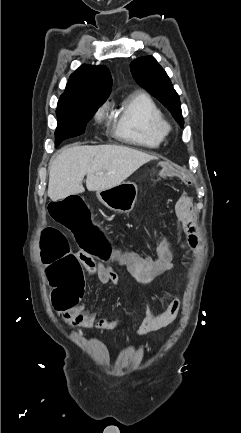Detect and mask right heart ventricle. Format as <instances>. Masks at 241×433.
<instances>
[{
	"label": "right heart ventricle",
	"instance_id": "right-heart-ventricle-1",
	"mask_svg": "<svg viewBox=\"0 0 241 433\" xmlns=\"http://www.w3.org/2000/svg\"><path fill=\"white\" fill-rule=\"evenodd\" d=\"M163 113L150 95L136 91L115 110L113 135L121 142L145 149L157 148L164 140L160 131Z\"/></svg>",
	"mask_w": 241,
	"mask_h": 433
}]
</instances>
